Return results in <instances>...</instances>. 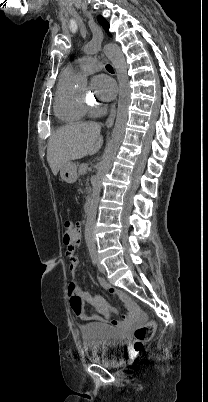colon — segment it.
I'll return each mask as SVG.
<instances>
[{
	"instance_id": "obj_1",
	"label": "colon",
	"mask_w": 208,
	"mask_h": 402,
	"mask_svg": "<svg viewBox=\"0 0 208 402\" xmlns=\"http://www.w3.org/2000/svg\"><path fill=\"white\" fill-rule=\"evenodd\" d=\"M76 224L77 222L72 220H65L62 225V234L64 239V244L69 245L72 241L75 240L76 234ZM72 310L76 315H82L84 303L81 297L79 296H72L70 299ZM155 332V325L152 323L148 324H141L139 328L135 331V338L137 342L134 345V349L136 352H140L142 348V344L140 342L148 341L153 336Z\"/></svg>"
}]
</instances>
